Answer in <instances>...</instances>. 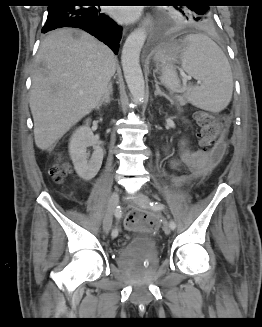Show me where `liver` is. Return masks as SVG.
Here are the masks:
<instances>
[{
  "mask_svg": "<svg viewBox=\"0 0 262 327\" xmlns=\"http://www.w3.org/2000/svg\"><path fill=\"white\" fill-rule=\"evenodd\" d=\"M116 71L113 52L78 29H58L42 42L32 76L30 109L34 139L50 150L95 109Z\"/></svg>",
  "mask_w": 262,
  "mask_h": 327,
  "instance_id": "obj_1",
  "label": "liver"
}]
</instances>
